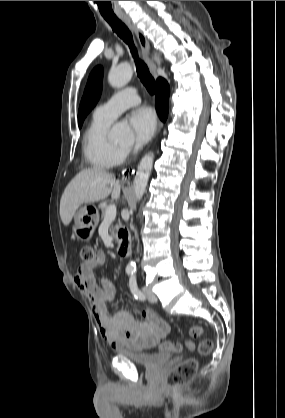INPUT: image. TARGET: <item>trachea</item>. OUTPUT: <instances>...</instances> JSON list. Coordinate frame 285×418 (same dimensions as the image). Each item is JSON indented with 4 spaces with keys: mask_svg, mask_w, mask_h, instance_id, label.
<instances>
[{
    "mask_svg": "<svg viewBox=\"0 0 285 418\" xmlns=\"http://www.w3.org/2000/svg\"><path fill=\"white\" fill-rule=\"evenodd\" d=\"M104 19L110 24L113 31L123 39V41L128 44L131 54L134 58L136 64L137 75L140 78L141 82L144 84L146 89L150 94L156 92V83L152 75L150 74L146 64L138 57L137 49L133 43V37L126 25L120 21L117 17H107L104 16Z\"/></svg>",
    "mask_w": 285,
    "mask_h": 418,
    "instance_id": "trachea-1",
    "label": "trachea"
}]
</instances>
